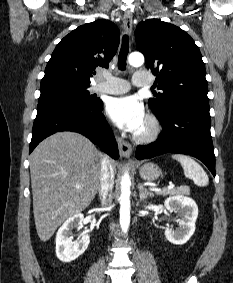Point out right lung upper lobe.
Returning a JSON list of instances; mask_svg holds the SVG:
<instances>
[{"label": "right lung upper lobe", "mask_w": 233, "mask_h": 283, "mask_svg": "<svg viewBox=\"0 0 233 283\" xmlns=\"http://www.w3.org/2000/svg\"><path fill=\"white\" fill-rule=\"evenodd\" d=\"M119 40V29L109 20L81 25L57 44L41 82L66 80L89 86L95 70L108 67Z\"/></svg>", "instance_id": "cb5924a9"}]
</instances>
